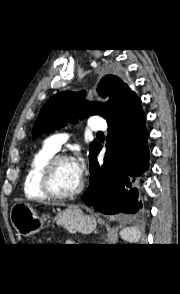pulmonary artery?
Listing matches in <instances>:
<instances>
[{"label":"pulmonary artery","instance_id":"e3ab8cb5","mask_svg":"<svg viewBox=\"0 0 180 294\" xmlns=\"http://www.w3.org/2000/svg\"><path fill=\"white\" fill-rule=\"evenodd\" d=\"M89 128L93 131L106 130L107 123L101 117L94 116L90 118ZM66 139L67 137L65 135H53L47 138L45 145L58 152Z\"/></svg>","mask_w":180,"mask_h":294}]
</instances>
